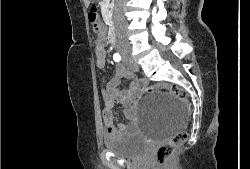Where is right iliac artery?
<instances>
[{
    "instance_id": "obj_1",
    "label": "right iliac artery",
    "mask_w": 250,
    "mask_h": 169,
    "mask_svg": "<svg viewBox=\"0 0 250 169\" xmlns=\"http://www.w3.org/2000/svg\"><path fill=\"white\" fill-rule=\"evenodd\" d=\"M113 59H114V61L119 62L121 60V57H120V55L118 53H115L113 55Z\"/></svg>"
}]
</instances>
